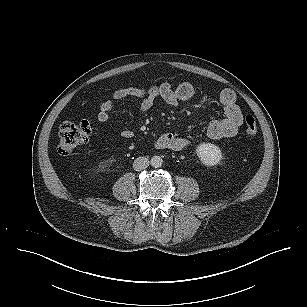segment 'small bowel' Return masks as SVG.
Masks as SVG:
<instances>
[{
  "instance_id": "1",
  "label": "small bowel",
  "mask_w": 307,
  "mask_h": 307,
  "mask_svg": "<svg viewBox=\"0 0 307 307\" xmlns=\"http://www.w3.org/2000/svg\"><path fill=\"white\" fill-rule=\"evenodd\" d=\"M194 94L195 88L189 82L180 83L177 87H173L169 83H162L149 88H119L112 93L111 99L101 103L97 120L101 123L108 122L109 114L114 109L117 101L133 99L139 111L148 112L153 108L158 98H161L168 105L177 106L179 103L191 99ZM219 101L225 116L220 119H214L209 123L207 135L212 139L234 137L237 135L243 121L242 113L236 102V95L232 90L224 89L219 94ZM121 136L125 139H131L133 132L128 129L123 130ZM155 145L159 149L179 151L189 145V140L185 137L165 133L157 138Z\"/></svg>"
}]
</instances>
